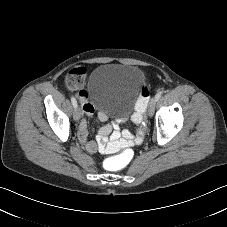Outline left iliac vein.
<instances>
[{"mask_svg":"<svg viewBox=\"0 0 227 227\" xmlns=\"http://www.w3.org/2000/svg\"><path fill=\"white\" fill-rule=\"evenodd\" d=\"M157 100L154 98L151 99L149 106H148V115L152 116L155 110V106H156Z\"/></svg>","mask_w":227,"mask_h":227,"instance_id":"4c4485c4","label":"left iliac vein"}]
</instances>
